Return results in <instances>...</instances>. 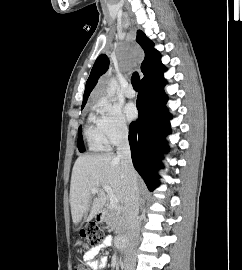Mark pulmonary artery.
<instances>
[{"label": "pulmonary artery", "instance_id": "1", "mask_svg": "<svg viewBox=\"0 0 242 270\" xmlns=\"http://www.w3.org/2000/svg\"><path fill=\"white\" fill-rule=\"evenodd\" d=\"M125 95L128 97V98H134L135 95H136V92L134 90V88L132 86H128L126 87L125 89Z\"/></svg>", "mask_w": 242, "mask_h": 270}]
</instances>
